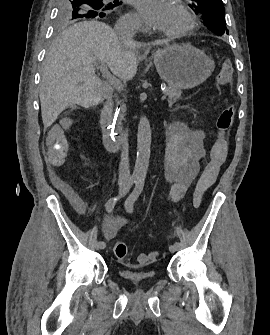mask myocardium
<instances>
[{"mask_svg": "<svg viewBox=\"0 0 270 335\" xmlns=\"http://www.w3.org/2000/svg\"><path fill=\"white\" fill-rule=\"evenodd\" d=\"M177 12L184 17L186 23L181 29L175 31V35L184 36V35L190 33L195 28L196 23H197V19H196L195 15H193L185 7H178ZM175 78H178V77H175Z\"/></svg>", "mask_w": 270, "mask_h": 335, "instance_id": "f54148a6", "label": "myocardium"}]
</instances>
